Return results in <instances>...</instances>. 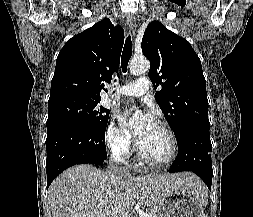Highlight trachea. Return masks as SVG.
Wrapping results in <instances>:
<instances>
[{
    "label": "trachea",
    "mask_w": 253,
    "mask_h": 217,
    "mask_svg": "<svg viewBox=\"0 0 253 217\" xmlns=\"http://www.w3.org/2000/svg\"><path fill=\"white\" fill-rule=\"evenodd\" d=\"M131 55H132V41H131V36L129 35L126 38L125 45L122 52V57H121V68L124 73L127 72V66L131 58Z\"/></svg>",
    "instance_id": "1"
}]
</instances>
